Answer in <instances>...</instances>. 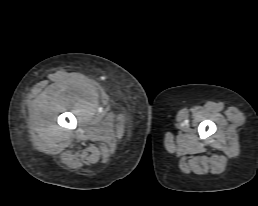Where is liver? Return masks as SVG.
Masks as SVG:
<instances>
[{
    "label": "liver",
    "mask_w": 258,
    "mask_h": 206,
    "mask_svg": "<svg viewBox=\"0 0 258 206\" xmlns=\"http://www.w3.org/2000/svg\"><path fill=\"white\" fill-rule=\"evenodd\" d=\"M46 95V91H44L43 93H42V96H45Z\"/></svg>",
    "instance_id": "6515ba94"
}]
</instances>
